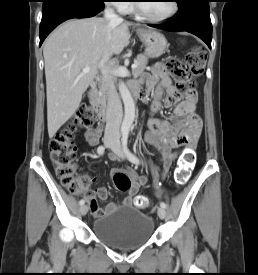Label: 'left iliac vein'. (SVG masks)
Instances as JSON below:
<instances>
[{"instance_id": "left-iliac-vein-1", "label": "left iliac vein", "mask_w": 258, "mask_h": 275, "mask_svg": "<svg viewBox=\"0 0 258 275\" xmlns=\"http://www.w3.org/2000/svg\"><path fill=\"white\" fill-rule=\"evenodd\" d=\"M112 152L117 155L119 158H125V153L121 147L120 141L118 139H115L112 146L110 147ZM158 216L161 219H165L166 218V210L165 208L160 207L158 209Z\"/></svg>"}]
</instances>
